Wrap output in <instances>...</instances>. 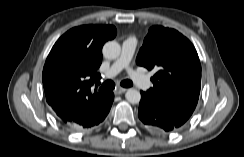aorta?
I'll return each mask as SVG.
<instances>
[{
    "mask_svg": "<svg viewBox=\"0 0 244 157\" xmlns=\"http://www.w3.org/2000/svg\"><path fill=\"white\" fill-rule=\"evenodd\" d=\"M121 53V46L116 41H108L103 46V55L107 59H116ZM126 100L132 104L140 102L141 94L138 90L130 88L125 94Z\"/></svg>",
    "mask_w": 244,
    "mask_h": 157,
    "instance_id": "762f6f07",
    "label": "aorta"
}]
</instances>
